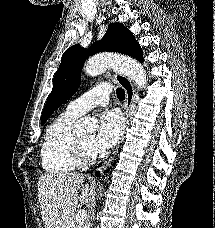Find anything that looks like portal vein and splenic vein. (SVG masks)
I'll return each mask as SVG.
<instances>
[{"label":"portal vein and splenic vein","instance_id":"portal-vein-and-splenic-vein-1","mask_svg":"<svg viewBox=\"0 0 215 228\" xmlns=\"http://www.w3.org/2000/svg\"><path fill=\"white\" fill-rule=\"evenodd\" d=\"M86 218H87V212H85V210H82V212H78L76 216L77 222H84Z\"/></svg>","mask_w":215,"mask_h":228}]
</instances>
